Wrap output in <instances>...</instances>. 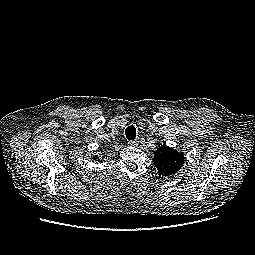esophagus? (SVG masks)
Wrapping results in <instances>:
<instances>
[{
  "instance_id": "34e87169",
  "label": "esophagus",
  "mask_w": 255,
  "mask_h": 255,
  "mask_svg": "<svg viewBox=\"0 0 255 255\" xmlns=\"http://www.w3.org/2000/svg\"><path fill=\"white\" fill-rule=\"evenodd\" d=\"M138 143H139L138 140H131V141H129V144H130L131 146H137Z\"/></svg>"
}]
</instances>
